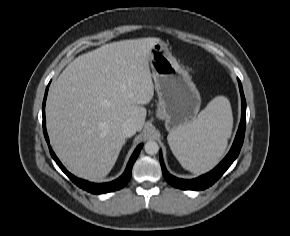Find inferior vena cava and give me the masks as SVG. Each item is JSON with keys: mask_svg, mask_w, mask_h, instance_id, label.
Instances as JSON below:
<instances>
[{"mask_svg": "<svg viewBox=\"0 0 290 236\" xmlns=\"http://www.w3.org/2000/svg\"><path fill=\"white\" fill-rule=\"evenodd\" d=\"M121 131L125 137H131L136 133L137 129L132 122H125L121 127Z\"/></svg>", "mask_w": 290, "mask_h": 236, "instance_id": "602c4592", "label": "inferior vena cava"}]
</instances>
